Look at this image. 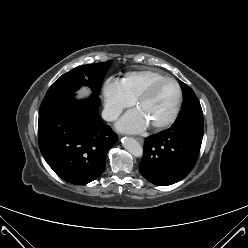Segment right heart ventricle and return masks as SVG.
<instances>
[{"instance_id":"e07e8e85","label":"right heart ventricle","mask_w":248,"mask_h":248,"mask_svg":"<svg viewBox=\"0 0 248 248\" xmlns=\"http://www.w3.org/2000/svg\"><path fill=\"white\" fill-rule=\"evenodd\" d=\"M165 77L154 70H141L127 73L121 80L125 92L133 100L153 81Z\"/></svg>"}]
</instances>
